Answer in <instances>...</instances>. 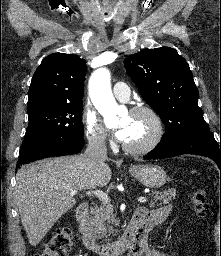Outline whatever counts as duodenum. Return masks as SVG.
<instances>
[{"mask_svg": "<svg viewBox=\"0 0 221 256\" xmlns=\"http://www.w3.org/2000/svg\"><path fill=\"white\" fill-rule=\"evenodd\" d=\"M89 205L81 203L76 210L77 229L84 247L98 256H119L132 247L144 232L146 214L141 209L134 212L132 219L122 237L117 241L99 243L88 226Z\"/></svg>", "mask_w": 221, "mask_h": 256, "instance_id": "410a0bca", "label": "duodenum"}]
</instances>
